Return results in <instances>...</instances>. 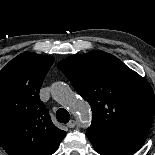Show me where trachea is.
Segmentation results:
<instances>
[{
    "mask_svg": "<svg viewBox=\"0 0 155 155\" xmlns=\"http://www.w3.org/2000/svg\"><path fill=\"white\" fill-rule=\"evenodd\" d=\"M56 118L60 123H67L70 120V115L66 109L61 108L57 111Z\"/></svg>",
    "mask_w": 155,
    "mask_h": 155,
    "instance_id": "1",
    "label": "trachea"
}]
</instances>
